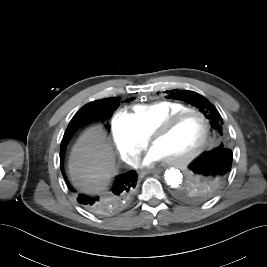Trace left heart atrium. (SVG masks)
<instances>
[{
    "label": "left heart atrium",
    "mask_w": 267,
    "mask_h": 267,
    "mask_svg": "<svg viewBox=\"0 0 267 267\" xmlns=\"http://www.w3.org/2000/svg\"><path fill=\"white\" fill-rule=\"evenodd\" d=\"M166 159L165 155L156 147H152L145 158L143 159V165L150 166L155 162Z\"/></svg>",
    "instance_id": "39dd6f15"
}]
</instances>
